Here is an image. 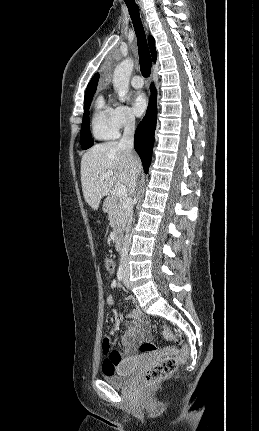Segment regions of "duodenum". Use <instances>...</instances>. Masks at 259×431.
Segmentation results:
<instances>
[{"mask_svg": "<svg viewBox=\"0 0 259 431\" xmlns=\"http://www.w3.org/2000/svg\"><path fill=\"white\" fill-rule=\"evenodd\" d=\"M108 206H109V203H108V202H105V204H104V209H105V210H107V209H108ZM115 246H116V249H117V250H120V249H121V235H120V233H119V232H117V233H116V236H115Z\"/></svg>", "mask_w": 259, "mask_h": 431, "instance_id": "1", "label": "duodenum"}]
</instances>
